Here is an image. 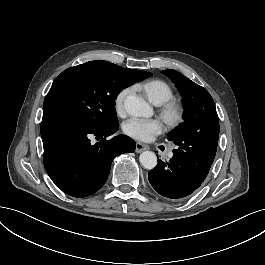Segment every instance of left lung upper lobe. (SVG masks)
I'll return each mask as SVG.
<instances>
[{"label":"left lung upper lobe","mask_w":265,"mask_h":265,"mask_svg":"<svg viewBox=\"0 0 265 265\" xmlns=\"http://www.w3.org/2000/svg\"><path fill=\"white\" fill-rule=\"evenodd\" d=\"M176 84L184 103V122L168 134L178 149L175 156L188 164L209 172L216 155L219 137V122L214 100L208 91L180 72L164 70Z\"/></svg>","instance_id":"5c2ea615"}]
</instances>
